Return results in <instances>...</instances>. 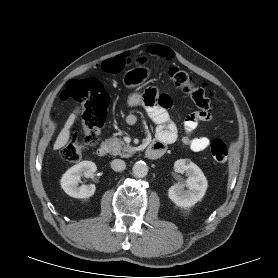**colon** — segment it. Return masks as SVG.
Returning a JSON list of instances; mask_svg holds the SVG:
<instances>
[{
	"mask_svg": "<svg viewBox=\"0 0 278 278\" xmlns=\"http://www.w3.org/2000/svg\"><path fill=\"white\" fill-rule=\"evenodd\" d=\"M130 63L127 56H118L103 62V71L109 74L121 72ZM169 83L190 96L195 105L204 111L211 108V96L203 84L195 81L186 71L173 67L168 71ZM61 100L75 101L84 107L82 115L83 139L74 134L70 141L60 150V156L67 162H78L87 146L95 145L99 140L101 128L106 119L108 95L102 84L95 78L76 79L70 81L61 92ZM213 159L224 164L228 159V148L220 139L210 142Z\"/></svg>",
	"mask_w": 278,
	"mask_h": 278,
	"instance_id": "obj_1",
	"label": "colon"
}]
</instances>
